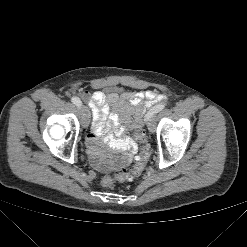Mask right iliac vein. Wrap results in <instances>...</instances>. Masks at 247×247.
I'll return each mask as SVG.
<instances>
[{
	"label": "right iliac vein",
	"instance_id": "obj_1",
	"mask_svg": "<svg viewBox=\"0 0 247 247\" xmlns=\"http://www.w3.org/2000/svg\"><path fill=\"white\" fill-rule=\"evenodd\" d=\"M79 112L81 115L82 126L84 128L88 127L89 122H90V112L88 108L84 105L79 106Z\"/></svg>",
	"mask_w": 247,
	"mask_h": 247
}]
</instances>
